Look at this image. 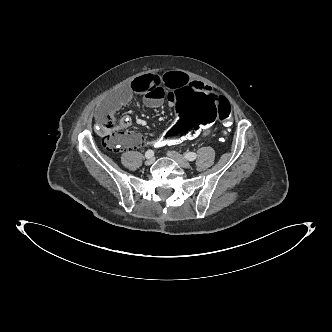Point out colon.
Here are the masks:
<instances>
[{"label": "colon", "mask_w": 332, "mask_h": 332, "mask_svg": "<svg viewBox=\"0 0 332 332\" xmlns=\"http://www.w3.org/2000/svg\"><path fill=\"white\" fill-rule=\"evenodd\" d=\"M168 118L172 129L158 140L153 141L154 147L166 143L175 145L183 139H194L202 136L217 120L223 126L221 134L227 135L232 124L230 104L220 97L211 87L189 82L178 87L171 94L168 102ZM117 111L106 114L104 124V146L111 152H116L122 145V137L115 130Z\"/></svg>", "instance_id": "5ec220e1"}]
</instances>
